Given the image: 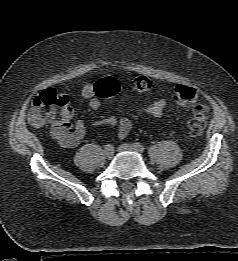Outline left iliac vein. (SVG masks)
I'll return each mask as SVG.
<instances>
[{
  "mask_svg": "<svg viewBox=\"0 0 238 261\" xmlns=\"http://www.w3.org/2000/svg\"><path fill=\"white\" fill-rule=\"evenodd\" d=\"M118 150L119 151H136L134 146L131 145V144H128V143H124V144H121L119 147H118Z\"/></svg>",
  "mask_w": 238,
  "mask_h": 261,
  "instance_id": "obj_1",
  "label": "left iliac vein"
}]
</instances>
